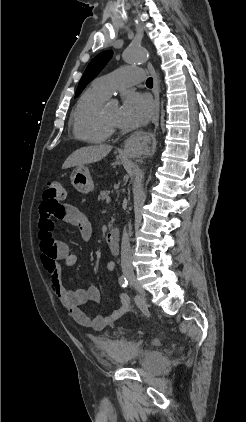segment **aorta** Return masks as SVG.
Instances as JSON below:
<instances>
[{"label":"aorta","mask_w":246,"mask_h":422,"mask_svg":"<svg viewBox=\"0 0 246 422\" xmlns=\"http://www.w3.org/2000/svg\"><path fill=\"white\" fill-rule=\"evenodd\" d=\"M123 57L127 63H144L148 59V53L141 46H130L125 49Z\"/></svg>","instance_id":"762f6f07"}]
</instances>
